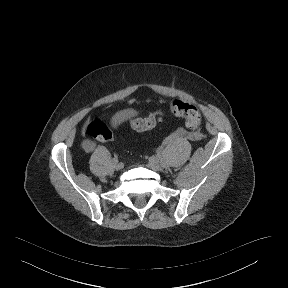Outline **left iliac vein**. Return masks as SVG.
Returning a JSON list of instances; mask_svg holds the SVG:
<instances>
[{"instance_id": "1", "label": "left iliac vein", "mask_w": 288, "mask_h": 288, "mask_svg": "<svg viewBox=\"0 0 288 288\" xmlns=\"http://www.w3.org/2000/svg\"><path fill=\"white\" fill-rule=\"evenodd\" d=\"M148 167L154 170H160L161 164L158 158L150 157L148 160Z\"/></svg>"}]
</instances>
